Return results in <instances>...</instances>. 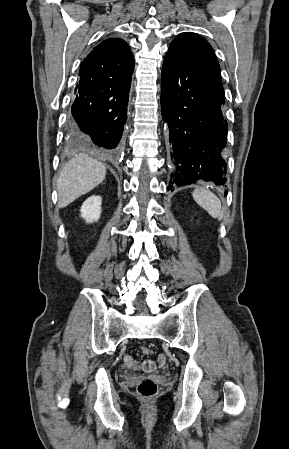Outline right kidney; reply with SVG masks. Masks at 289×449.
Here are the masks:
<instances>
[{"label":"right kidney","instance_id":"right-kidney-1","mask_svg":"<svg viewBox=\"0 0 289 449\" xmlns=\"http://www.w3.org/2000/svg\"><path fill=\"white\" fill-rule=\"evenodd\" d=\"M101 204V196H90L81 206V217L84 218L87 223L98 221L101 215Z\"/></svg>","mask_w":289,"mask_h":449}]
</instances>
